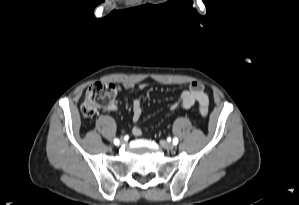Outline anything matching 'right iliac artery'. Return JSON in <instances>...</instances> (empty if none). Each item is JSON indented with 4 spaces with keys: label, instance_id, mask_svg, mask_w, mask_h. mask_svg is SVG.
<instances>
[{
    "label": "right iliac artery",
    "instance_id": "obj_1",
    "mask_svg": "<svg viewBox=\"0 0 299 205\" xmlns=\"http://www.w3.org/2000/svg\"><path fill=\"white\" fill-rule=\"evenodd\" d=\"M114 144L118 145L119 144V140L118 139H114Z\"/></svg>",
    "mask_w": 299,
    "mask_h": 205
}]
</instances>
